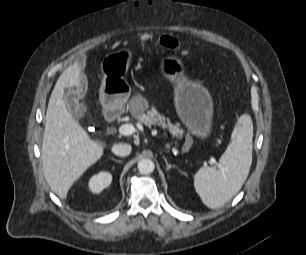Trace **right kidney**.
I'll use <instances>...</instances> for the list:
<instances>
[{
	"mask_svg": "<svg viewBox=\"0 0 306 255\" xmlns=\"http://www.w3.org/2000/svg\"><path fill=\"white\" fill-rule=\"evenodd\" d=\"M112 181V175L108 172H100L89 180V188L93 193H100L107 188Z\"/></svg>",
	"mask_w": 306,
	"mask_h": 255,
	"instance_id": "ca27d5eb",
	"label": "right kidney"
}]
</instances>
